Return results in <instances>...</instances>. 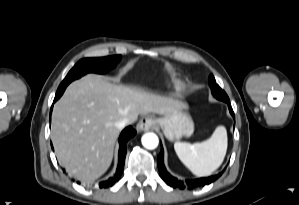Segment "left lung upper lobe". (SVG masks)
<instances>
[{"label":"left lung upper lobe","mask_w":299,"mask_h":205,"mask_svg":"<svg viewBox=\"0 0 299 205\" xmlns=\"http://www.w3.org/2000/svg\"><path fill=\"white\" fill-rule=\"evenodd\" d=\"M209 85L215 98L219 100L228 99L227 94L218 85H216V81L213 75H210L209 77Z\"/></svg>","instance_id":"obj_1"}]
</instances>
